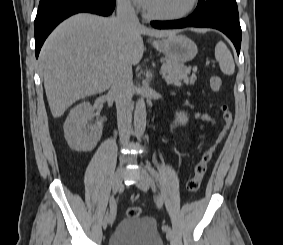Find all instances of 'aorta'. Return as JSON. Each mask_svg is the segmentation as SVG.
Segmentation results:
<instances>
[{"label":"aorta","instance_id":"obj_1","mask_svg":"<svg viewBox=\"0 0 283 245\" xmlns=\"http://www.w3.org/2000/svg\"><path fill=\"white\" fill-rule=\"evenodd\" d=\"M146 104L144 97H141L136 102L134 111V131L137 139H141L146 129Z\"/></svg>","mask_w":283,"mask_h":245}]
</instances>
